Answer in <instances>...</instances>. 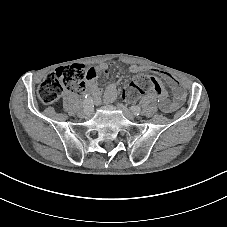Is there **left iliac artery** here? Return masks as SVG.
I'll return each mask as SVG.
<instances>
[{
	"label": "left iliac artery",
	"mask_w": 227,
	"mask_h": 227,
	"mask_svg": "<svg viewBox=\"0 0 227 227\" xmlns=\"http://www.w3.org/2000/svg\"><path fill=\"white\" fill-rule=\"evenodd\" d=\"M140 107L139 106H136V108L132 107V111L136 114V115H139L140 113Z\"/></svg>",
	"instance_id": "44dca946"
}]
</instances>
